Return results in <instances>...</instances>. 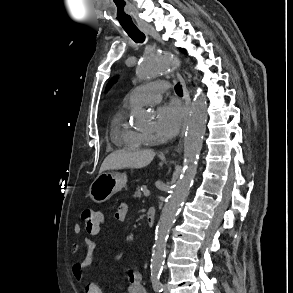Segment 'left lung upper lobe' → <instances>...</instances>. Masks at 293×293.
Listing matches in <instances>:
<instances>
[{"instance_id": "5c2ea615", "label": "left lung upper lobe", "mask_w": 293, "mask_h": 293, "mask_svg": "<svg viewBox=\"0 0 293 293\" xmlns=\"http://www.w3.org/2000/svg\"><path fill=\"white\" fill-rule=\"evenodd\" d=\"M115 81H116V79H112V80L108 83L106 89H108L109 87H111L112 84H113Z\"/></svg>"}]
</instances>
